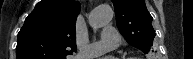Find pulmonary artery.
<instances>
[{"instance_id": "1", "label": "pulmonary artery", "mask_w": 193, "mask_h": 59, "mask_svg": "<svg viewBox=\"0 0 193 59\" xmlns=\"http://www.w3.org/2000/svg\"><path fill=\"white\" fill-rule=\"evenodd\" d=\"M120 42V36L111 26H106L102 30V39L91 43L86 50L80 51L78 57L82 59L95 58L103 53L106 48H115Z\"/></svg>"}]
</instances>
